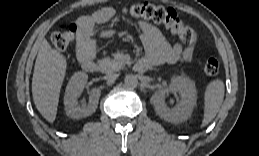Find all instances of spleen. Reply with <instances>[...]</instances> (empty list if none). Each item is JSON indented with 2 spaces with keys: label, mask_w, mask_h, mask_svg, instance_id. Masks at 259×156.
<instances>
[{
  "label": "spleen",
  "mask_w": 259,
  "mask_h": 156,
  "mask_svg": "<svg viewBox=\"0 0 259 156\" xmlns=\"http://www.w3.org/2000/svg\"><path fill=\"white\" fill-rule=\"evenodd\" d=\"M224 82L216 79L210 82L204 92V117L202 127L209 124L219 112L224 99Z\"/></svg>",
  "instance_id": "1"
}]
</instances>
